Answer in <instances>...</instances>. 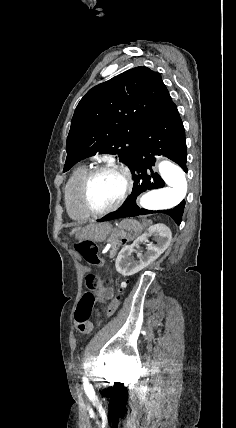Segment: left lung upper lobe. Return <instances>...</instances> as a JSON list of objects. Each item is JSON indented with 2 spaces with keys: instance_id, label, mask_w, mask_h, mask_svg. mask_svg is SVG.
<instances>
[{
  "instance_id": "1",
  "label": "left lung upper lobe",
  "mask_w": 236,
  "mask_h": 428,
  "mask_svg": "<svg viewBox=\"0 0 236 428\" xmlns=\"http://www.w3.org/2000/svg\"><path fill=\"white\" fill-rule=\"evenodd\" d=\"M172 103L161 75L147 67L130 69L93 87L74 112L64 172L97 152L117 154L129 166L143 128Z\"/></svg>"
}]
</instances>
